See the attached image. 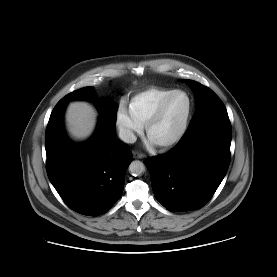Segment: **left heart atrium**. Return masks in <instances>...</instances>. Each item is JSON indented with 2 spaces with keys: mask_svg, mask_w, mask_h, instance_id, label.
<instances>
[{
  "mask_svg": "<svg viewBox=\"0 0 277 277\" xmlns=\"http://www.w3.org/2000/svg\"><path fill=\"white\" fill-rule=\"evenodd\" d=\"M148 143L150 144V145H154L155 143L153 142V140L149 137V139H148Z\"/></svg>",
  "mask_w": 277,
  "mask_h": 277,
  "instance_id": "1",
  "label": "left heart atrium"
}]
</instances>
